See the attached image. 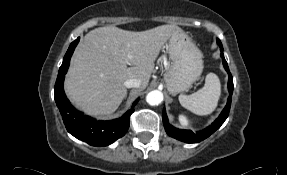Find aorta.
<instances>
[{
    "instance_id": "1",
    "label": "aorta",
    "mask_w": 287,
    "mask_h": 175,
    "mask_svg": "<svg viewBox=\"0 0 287 175\" xmlns=\"http://www.w3.org/2000/svg\"><path fill=\"white\" fill-rule=\"evenodd\" d=\"M146 101L149 105H159L163 101V93L159 90L151 91L146 96Z\"/></svg>"
}]
</instances>
